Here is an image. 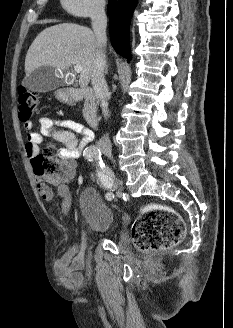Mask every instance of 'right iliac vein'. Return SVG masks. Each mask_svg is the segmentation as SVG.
Masks as SVG:
<instances>
[{"mask_svg": "<svg viewBox=\"0 0 233 328\" xmlns=\"http://www.w3.org/2000/svg\"><path fill=\"white\" fill-rule=\"evenodd\" d=\"M101 151L105 156H107V157H109L110 159L113 160L112 151H111L110 147L104 146V147L101 148ZM115 188H117V195L118 196L121 195L122 183L120 181H115Z\"/></svg>", "mask_w": 233, "mask_h": 328, "instance_id": "63e3f726", "label": "right iliac vein"}]
</instances>
